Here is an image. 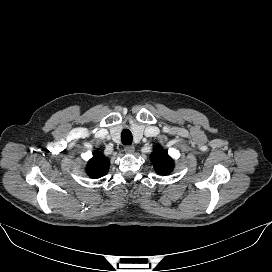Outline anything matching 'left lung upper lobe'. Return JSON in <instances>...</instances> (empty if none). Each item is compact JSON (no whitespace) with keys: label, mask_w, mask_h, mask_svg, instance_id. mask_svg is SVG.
Returning <instances> with one entry per match:
<instances>
[{"label":"left lung upper lobe","mask_w":272,"mask_h":272,"mask_svg":"<svg viewBox=\"0 0 272 272\" xmlns=\"http://www.w3.org/2000/svg\"><path fill=\"white\" fill-rule=\"evenodd\" d=\"M150 160L154 169L160 175H168L173 170L174 164L172 159L160 145L154 148V151L150 155Z\"/></svg>","instance_id":"obj_1"}]
</instances>
